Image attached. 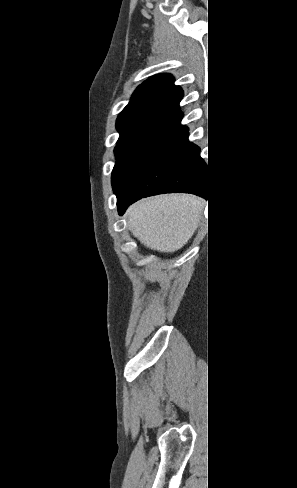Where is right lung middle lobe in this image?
I'll return each instance as SVG.
<instances>
[{
  "label": "right lung middle lobe",
  "instance_id": "right-lung-middle-lobe-1",
  "mask_svg": "<svg viewBox=\"0 0 297 488\" xmlns=\"http://www.w3.org/2000/svg\"><path fill=\"white\" fill-rule=\"evenodd\" d=\"M175 134L145 131L120 135L114 150L117 161L112 172V186L117 199L129 193Z\"/></svg>",
  "mask_w": 297,
  "mask_h": 488
}]
</instances>
